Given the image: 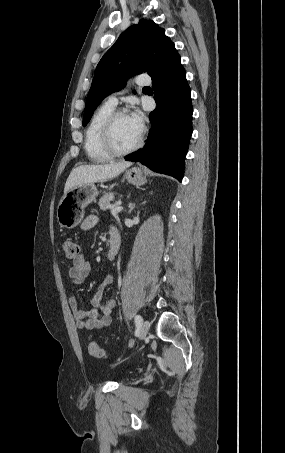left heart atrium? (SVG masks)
<instances>
[{
	"label": "left heart atrium",
	"mask_w": 285,
	"mask_h": 453,
	"mask_svg": "<svg viewBox=\"0 0 285 453\" xmlns=\"http://www.w3.org/2000/svg\"><path fill=\"white\" fill-rule=\"evenodd\" d=\"M133 122L142 130L144 125L143 115L140 111H135L131 115Z\"/></svg>",
	"instance_id": "1"
}]
</instances>
